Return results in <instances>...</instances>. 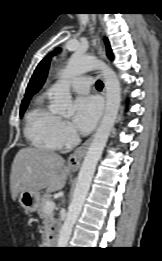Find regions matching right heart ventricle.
<instances>
[{
    "mask_svg": "<svg viewBox=\"0 0 162 261\" xmlns=\"http://www.w3.org/2000/svg\"><path fill=\"white\" fill-rule=\"evenodd\" d=\"M58 116L45 105L43 97H38L25 118V135L37 148L54 150L57 147L54 125Z\"/></svg>",
    "mask_w": 162,
    "mask_h": 261,
    "instance_id": "e07e8e85",
    "label": "right heart ventricle"
}]
</instances>
